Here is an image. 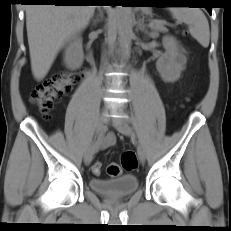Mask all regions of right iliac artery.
Masks as SVG:
<instances>
[{
    "label": "right iliac artery",
    "instance_id": "right-iliac-artery-1",
    "mask_svg": "<svg viewBox=\"0 0 231 231\" xmlns=\"http://www.w3.org/2000/svg\"><path fill=\"white\" fill-rule=\"evenodd\" d=\"M103 138V133L98 137V140L95 142V150H98V144L100 142V140Z\"/></svg>",
    "mask_w": 231,
    "mask_h": 231
}]
</instances>
